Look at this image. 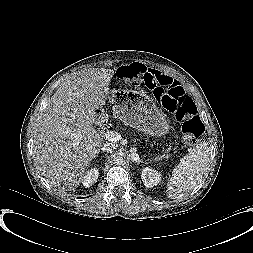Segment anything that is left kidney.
Returning a JSON list of instances; mask_svg holds the SVG:
<instances>
[{
    "instance_id": "left-kidney-1",
    "label": "left kidney",
    "mask_w": 253,
    "mask_h": 253,
    "mask_svg": "<svg viewBox=\"0 0 253 253\" xmlns=\"http://www.w3.org/2000/svg\"><path fill=\"white\" fill-rule=\"evenodd\" d=\"M141 179L147 188H152L161 181V174L152 168L145 167L142 170Z\"/></svg>"
}]
</instances>
